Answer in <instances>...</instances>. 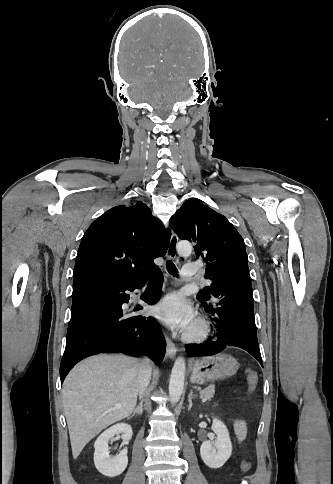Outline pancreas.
Here are the masks:
<instances>
[{"label": "pancreas", "instance_id": "pancreas-1", "mask_svg": "<svg viewBox=\"0 0 333 484\" xmlns=\"http://www.w3.org/2000/svg\"><path fill=\"white\" fill-rule=\"evenodd\" d=\"M215 393V385L210 384L208 387L200 391L202 397L206 398L207 400H211Z\"/></svg>", "mask_w": 333, "mask_h": 484}]
</instances>
